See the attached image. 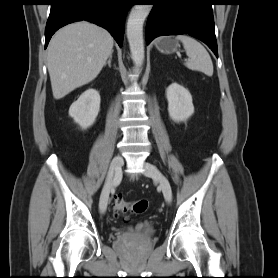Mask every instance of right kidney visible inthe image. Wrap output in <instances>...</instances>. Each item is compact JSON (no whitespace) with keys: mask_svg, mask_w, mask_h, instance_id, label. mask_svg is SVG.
Instances as JSON below:
<instances>
[{"mask_svg":"<svg viewBox=\"0 0 278 278\" xmlns=\"http://www.w3.org/2000/svg\"><path fill=\"white\" fill-rule=\"evenodd\" d=\"M100 110V94L90 88L83 92L69 108V116L83 129L92 126Z\"/></svg>","mask_w":278,"mask_h":278,"instance_id":"obj_1","label":"right kidney"}]
</instances>
